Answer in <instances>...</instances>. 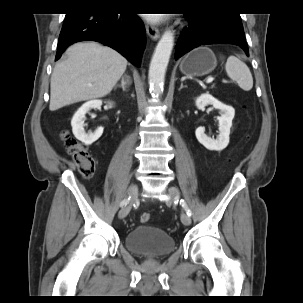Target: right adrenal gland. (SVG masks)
<instances>
[{"label":"right adrenal gland","instance_id":"right-adrenal-gland-1","mask_svg":"<svg viewBox=\"0 0 303 303\" xmlns=\"http://www.w3.org/2000/svg\"><path fill=\"white\" fill-rule=\"evenodd\" d=\"M129 85H131L130 77L124 75V76H122V78H121V83H120V84H117V85L115 86V88L121 87L123 91H126V88H127Z\"/></svg>","mask_w":303,"mask_h":303}]
</instances>
